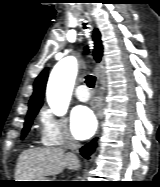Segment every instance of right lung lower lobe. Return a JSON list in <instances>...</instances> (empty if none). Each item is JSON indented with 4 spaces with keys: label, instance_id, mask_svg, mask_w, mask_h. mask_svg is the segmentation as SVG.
I'll use <instances>...</instances> for the list:
<instances>
[{
    "label": "right lung lower lobe",
    "instance_id": "98d812e1",
    "mask_svg": "<svg viewBox=\"0 0 160 187\" xmlns=\"http://www.w3.org/2000/svg\"><path fill=\"white\" fill-rule=\"evenodd\" d=\"M96 146H97L96 139H93L90 143H88L87 145L83 146L80 149L81 155L88 159L90 155L94 152Z\"/></svg>",
    "mask_w": 160,
    "mask_h": 187
}]
</instances>
